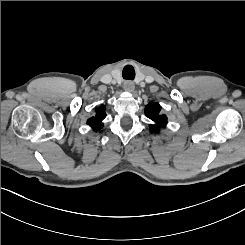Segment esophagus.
<instances>
[{
    "label": "esophagus",
    "mask_w": 245,
    "mask_h": 245,
    "mask_svg": "<svg viewBox=\"0 0 245 245\" xmlns=\"http://www.w3.org/2000/svg\"><path fill=\"white\" fill-rule=\"evenodd\" d=\"M123 87L125 91L132 92L134 90V83L130 80L124 82Z\"/></svg>",
    "instance_id": "34e87169"
}]
</instances>
